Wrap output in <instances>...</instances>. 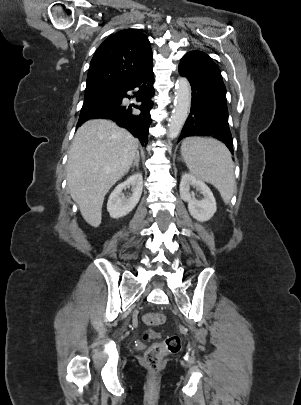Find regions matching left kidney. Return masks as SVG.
Wrapping results in <instances>:
<instances>
[{
    "instance_id": "5707ae66",
    "label": "left kidney",
    "mask_w": 301,
    "mask_h": 405,
    "mask_svg": "<svg viewBox=\"0 0 301 405\" xmlns=\"http://www.w3.org/2000/svg\"><path fill=\"white\" fill-rule=\"evenodd\" d=\"M191 187L203 195L201 200L195 199ZM179 190L181 199L188 203V211L194 219L205 222L213 217L217 210L216 201L212 191L205 183L190 174H184Z\"/></svg>"
}]
</instances>
